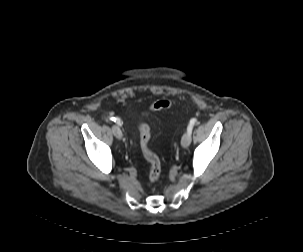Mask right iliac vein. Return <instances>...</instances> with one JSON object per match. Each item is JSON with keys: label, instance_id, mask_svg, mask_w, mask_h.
I'll return each instance as SVG.
<instances>
[{"label": "right iliac vein", "instance_id": "obj_1", "mask_svg": "<svg viewBox=\"0 0 303 252\" xmlns=\"http://www.w3.org/2000/svg\"><path fill=\"white\" fill-rule=\"evenodd\" d=\"M111 130H112L113 135H114L117 139H122V137H123L122 131H121V129H120L117 125H113V126L111 127Z\"/></svg>", "mask_w": 303, "mask_h": 252}]
</instances>
